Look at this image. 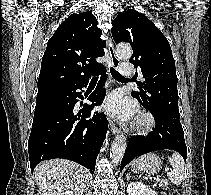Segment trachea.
<instances>
[{"mask_svg": "<svg viewBox=\"0 0 211 195\" xmlns=\"http://www.w3.org/2000/svg\"><path fill=\"white\" fill-rule=\"evenodd\" d=\"M111 75L118 81H129V79H126L122 75H120L114 68H110ZM92 80H98V77H94Z\"/></svg>", "mask_w": 211, "mask_h": 195, "instance_id": "1", "label": "trachea"}]
</instances>
